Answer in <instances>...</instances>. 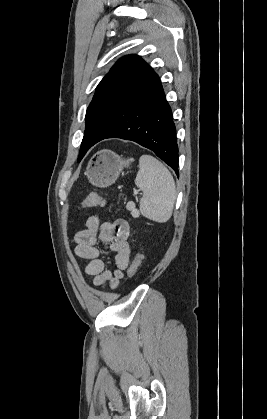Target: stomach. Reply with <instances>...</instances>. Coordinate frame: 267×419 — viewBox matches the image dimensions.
Wrapping results in <instances>:
<instances>
[{"label": "stomach", "instance_id": "stomach-1", "mask_svg": "<svg viewBox=\"0 0 267 419\" xmlns=\"http://www.w3.org/2000/svg\"><path fill=\"white\" fill-rule=\"evenodd\" d=\"M133 158L124 159L111 150H100L89 160L86 176L97 187H107L113 184L123 168H128Z\"/></svg>", "mask_w": 267, "mask_h": 419}]
</instances>
